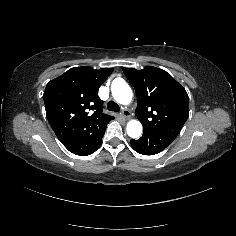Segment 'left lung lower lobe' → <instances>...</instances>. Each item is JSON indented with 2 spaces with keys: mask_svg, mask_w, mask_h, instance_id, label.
<instances>
[{
  "mask_svg": "<svg viewBox=\"0 0 236 236\" xmlns=\"http://www.w3.org/2000/svg\"><path fill=\"white\" fill-rule=\"evenodd\" d=\"M175 138L176 136L165 133L143 131L140 139H131L130 143L136 152L143 155H154L164 150Z\"/></svg>",
  "mask_w": 236,
  "mask_h": 236,
  "instance_id": "obj_1",
  "label": "left lung lower lobe"
}]
</instances>
